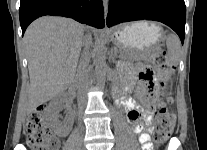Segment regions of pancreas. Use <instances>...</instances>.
Returning <instances> with one entry per match:
<instances>
[{"label": "pancreas", "mask_w": 207, "mask_h": 150, "mask_svg": "<svg viewBox=\"0 0 207 150\" xmlns=\"http://www.w3.org/2000/svg\"><path fill=\"white\" fill-rule=\"evenodd\" d=\"M150 57H151V55L147 51L146 53L136 54L133 57L128 58V60L129 61H134V60H144V61H148V60H150ZM121 58H122V60H124V56H122V53H121Z\"/></svg>", "instance_id": "obj_1"}]
</instances>
